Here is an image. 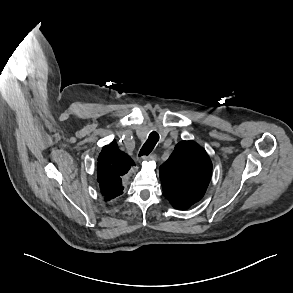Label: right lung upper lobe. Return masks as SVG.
<instances>
[{
  "mask_svg": "<svg viewBox=\"0 0 293 293\" xmlns=\"http://www.w3.org/2000/svg\"><path fill=\"white\" fill-rule=\"evenodd\" d=\"M134 166L132 159L116 143L102 148L97 163V180L106 201L123 193L122 178Z\"/></svg>",
  "mask_w": 293,
  "mask_h": 293,
  "instance_id": "1",
  "label": "right lung upper lobe"
}]
</instances>
